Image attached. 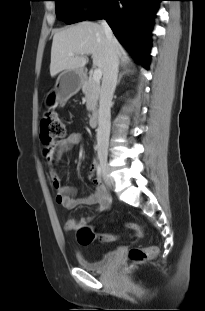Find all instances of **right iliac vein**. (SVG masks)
<instances>
[{
    "label": "right iliac vein",
    "mask_w": 205,
    "mask_h": 311,
    "mask_svg": "<svg viewBox=\"0 0 205 311\" xmlns=\"http://www.w3.org/2000/svg\"><path fill=\"white\" fill-rule=\"evenodd\" d=\"M98 160L102 167V173L104 176V179L108 184H110V177H109V168L107 163V152L106 148L100 146L98 147Z\"/></svg>",
    "instance_id": "63e3f726"
}]
</instances>
